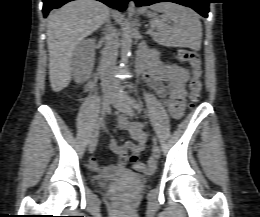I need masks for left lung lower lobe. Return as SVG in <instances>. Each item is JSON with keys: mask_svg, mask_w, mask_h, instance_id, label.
Segmentation results:
<instances>
[{"mask_svg": "<svg viewBox=\"0 0 260 217\" xmlns=\"http://www.w3.org/2000/svg\"><path fill=\"white\" fill-rule=\"evenodd\" d=\"M130 1H135L137 7L148 6L158 2H174V3H178L193 8L203 17L208 16V12H209L208 5L209 3H211L210 0H130Z\"/></svg>", "mask_w": 260, "mask_h": 217, "instance_id": "0a47b994", "label": "left lung lower lobe"}]
</instances>
